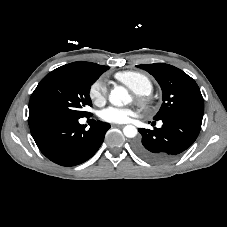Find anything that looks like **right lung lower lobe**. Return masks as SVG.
Returning a JSON list of instances; mask_svg holds the SVG:
<instances>
[{
  "instance_id": "obj_1",
  "label": "right lung lower lobe",
  "mask_w": 227,
  "mask_h": 227,
  "mask_svg": "<svg viewBox=\"0 0 227 227\" xmlns=\"http://www.w3.org/2000/svg\"><path fill=\"white\" fill-rule=\"evenodd\" d=\"M79 118L43 119L30 124L40 151L61 166H75L90 159L103 143L110 125L95 121L86 130Z\"/></svg>"
}]
</instances>
